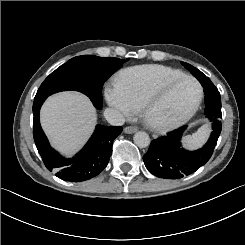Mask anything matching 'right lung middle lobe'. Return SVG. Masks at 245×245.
I'll use <instances>...</instances> for the list:
<instances>
[{
    "instance_id": "dd1d6c3e",
    "label": "right lung middle lobe",
    "mask_w": 245,
    "mask_h": 245,
    "mask_svg": "<svg viewBox=\"0 0 245 245\" xmlns=\"http://www.w3.org/2000/svg\"><path fill=\"white\" fill-rule=\"evenodd\" d=\"M124 63L123 59L82 55L52 72L41 84L35 99L59 91L76 90L86 94L94 106L102 108V87L109 76Z\"/></svg>"
}]
</instances>
